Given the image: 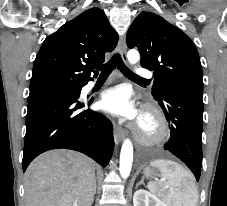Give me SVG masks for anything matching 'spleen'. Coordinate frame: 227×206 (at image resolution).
Here are the masks:
<instances>
[{"mask_svg": "<svg viewBox=\"0 0 227 206\" xmlns=\"http://www.w3.org/2000/svg\"><path fill=\"white\" fill-rule=\"evenodd\" d=\"M161 171L167 181L149 182L148 189L160 197L167 206H197L198 191L191 174L180 164L170 160L158 159L150 163Z\"/></svg>", "mask_w": 227, "mask_h": 206, "instance_id": "3e777b00", "label": "spleen"}]
</instances>
